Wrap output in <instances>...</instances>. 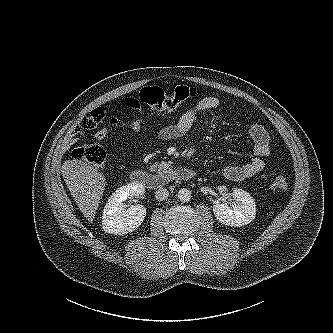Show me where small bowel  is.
<instances>
[{"label": "small bowel", "instance_id": "obj_1", "mask_svg": "<svg viewBox=\"0 0 333 333\" xmlns=\"http://www.w3.org/2000/svg\"><path fill=\"white\" fill-rule=\"evenodd\" d=\"M124 105L128 109L139 111L140 101L137 98H127ZM221 101L216 96H205L198 100L191 108L187 109L180 118L171 125L162 127L157 132V139L160 141H168L180 138L186 135L193 127L197 116L204 111L219 108ZM107 116V109L99 106L84 117L82 121L74 126L65 138L66 147H72L82 138L85 130H90L99 125ZM141 120L119 121L111 118L108 124L100 128L95 133L97 140H104L108 137L112 129L126 128L130 130H139ZM249 135L253 142V157L243 163L228 165L224 168V176L231 181H241L252 177L261 172L265 167V158L270 154V136L266 128L258 123L252 124L249 128Z\"/></svg>", "mask_w": 333, "mask_h": 333}]
</instances>
